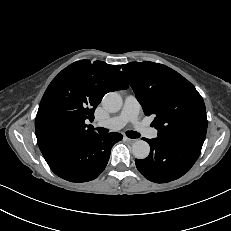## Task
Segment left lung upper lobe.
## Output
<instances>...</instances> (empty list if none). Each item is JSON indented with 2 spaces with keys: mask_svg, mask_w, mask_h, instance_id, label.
<instances>
[{
  "mask_svg": "<svg viewBox=\"0 0 231 231\" xmlns=\"http://www.w3.org/2000/svg\"><path fill=\"white\" fill-rule=\"evenodd\" d=\"M145 115H154L158 136H189L205 140L207 116L203 98L173 69L153 62L120 66Z\"/></svg>",
  "mask_w": 231,
  "mask_h": 231,
  "instance_id": "1",
  "label": "left lung upper lobe"
}]
</instances>
